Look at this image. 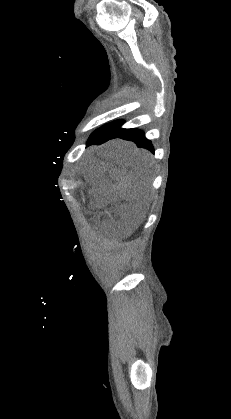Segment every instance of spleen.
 I'll return each instance as SVG.
<instances>
[{
	"label": "spleen",
	"instance_id": "1",
	"mask_svg": "<svg viewBox=\"0 0 231 419\" xmlns=\"http://www.w3.org/2000/svg\"><path fill=\"white\" fill-rule=\"evenodd\" d=\"M123 183H125V182H124V180H123V182L121 181V182L119 183V186H122V185H123Z\"/></svg>",
	"mask_w": 231,
	"mask_h": 419
}]
</instances>
